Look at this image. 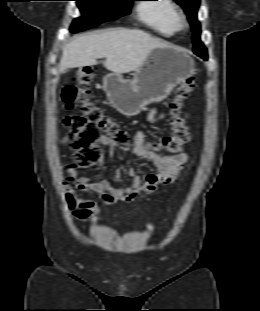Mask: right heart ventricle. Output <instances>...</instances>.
<instances>
[{
    "label": "right heart ventricle",
    "mask_w": 260,
    "mask_h": 311,
    "mask_svg": "<svg viewBox=\"0 0 260 311\" xmlns=\"http://www.w3.org/2000/svg\"><path fill=\"white\" fill-rule=\"evenodd\" d=\"M154 3L139 4L138 18L147 27L163 36L176 32L175 20L178 9L172 0H148Z\"/></svg>",
    "instance_id": "obj_1"
}]
</instances>
